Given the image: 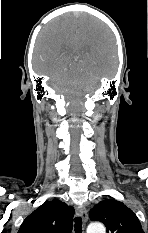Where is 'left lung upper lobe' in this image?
<instances>
[{
  "label": "left lung upper lobe",
  "mask_w": 148,
  "mask_h": 233,
  "mask_svg": "<svg viewBox=\"0 0 148 233\" xmlns=\"http://www.w3.org/2000/svg\"><path fill=\"white\" fill-rule=\"evenodd\" d=\"M90 219L104 223L107 233H144L135 213L115 199L95 205L90 211Z\"/></svg>",
  "instance_id": "5c2ea615"
}]
</instances>
